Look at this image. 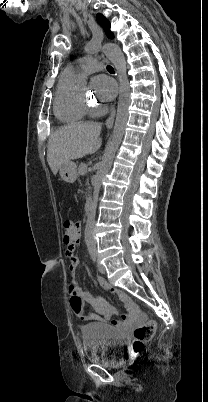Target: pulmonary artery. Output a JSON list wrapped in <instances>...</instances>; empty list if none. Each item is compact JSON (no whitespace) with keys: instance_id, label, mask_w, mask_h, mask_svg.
Listing matches in <instances>:
<instances>
[{"instance_id":"obj_1","label":"pulmonary artery","mask_w":208,"mask_h":402,"mask_svg":"<svg viewBox=\"0 0 208 402\" xmlns=\"http://www.w3.org/2000/svg\"><path fill=\"white\" fill-rule=\"evenodd\" d=\"M104 62L98 59L91 60L89 57H82L75 62L70 63L65 68V72L74 76L75 78H82L93 71H100L103 69Z\"/></svg>"}]
</instances>
